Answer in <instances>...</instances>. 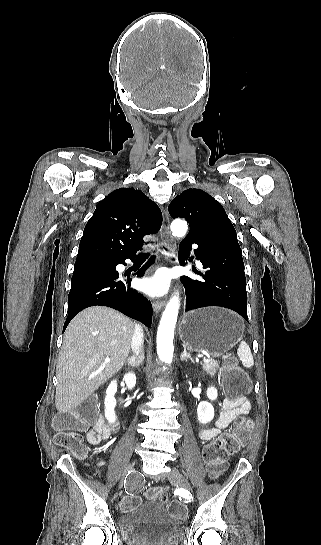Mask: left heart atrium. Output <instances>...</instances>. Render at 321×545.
<instances>
[{"label":"left heart atrium","instance_id":"obj_1","mask_svg":"<svg viewBox=\"0 0 321 545\" xmlns=\"http://www.w3.org/2000/svg\"><path fill=\"white\" fill-rule=\"evenodd\" d=\"M169 276L166 273H158L141 282V289L154 296L163 295L169 288Z\"/></svg>","mask_w":321,"mask_h":545}]
</instances>
